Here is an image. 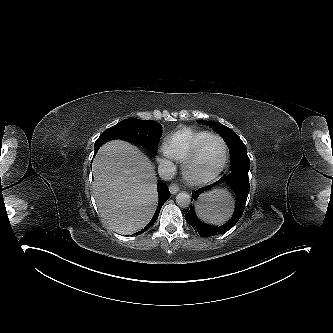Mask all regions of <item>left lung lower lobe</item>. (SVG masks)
Listing matches in <instances>:
<instances>
[{
  "mask_svg": "<svg viewBox=\"0 0 333 333\" xmlns=\"http://www.w3.org/2000/svg\"><path fill=\"white\" fill-rule=\"evenodd\" d=\"M224 181L227 182L233 188V190L236 193V197H237V205H236L234 215L226 224H224L220 227H214V226L202 223L195 216L194 205L193 206L191 205L189 212L185 215L186 221L194 228V230L196 232H198L203 237H210V236L222 234V233L228 231L237 223V221L239 220V218L241 217V215L244 211L247 196H248L249 189H250L249 178L245 176V177H242L239 179H235V178H230L225 175L219 181L214 183L213 185L217 184L218 182H224ZM210 187H212V186L200 188V189L194 191L192 193L193 198L196 199L198 197V195H200L202 192L208 190Z\"/></svg>",
  "mask_w": 333,
  "mask_h": 333,
  "instance_id": "0a47b994",
  "label": "left lung lower lobe"
}]
</instances>
